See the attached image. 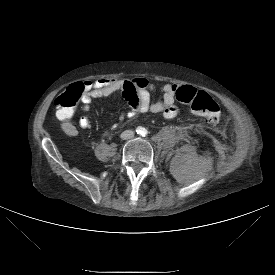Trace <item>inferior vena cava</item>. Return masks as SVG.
<instances>
[{"label":"inferior vena cava","mask_w":275,"mask_h":275,"mask_svg":"<svg viewBox=\"0 0 275 275\" xmlns=\"http://www.w3.org/2000/svg\"><path fill=\"white\" fill-rule=\"evenodd\" d=\"M134 137V132L132 130H125L124 132L121 133V138L126 140V139H131Z\"/></svg>","instance_id":"1"}]
</instances>
